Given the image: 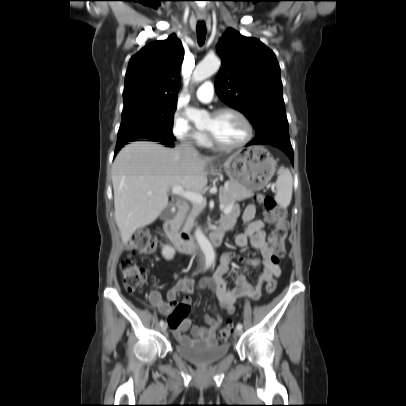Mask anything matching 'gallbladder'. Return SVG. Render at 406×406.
Here are the masks:
<instances>
[{"label":"gallbladder","mask_w":406,"mask_h":406,"mask_svg":"<svg viewBox=\"0 0 406 406\" xmlns=\"http://www.w3.org/2000/svg\"><path fill=\"white\" fill-rule=\"evenodd\" d=\"M174 212L172 211V203H170L160 214L161 220L171 219L174 217Z\"/></svg>","instance_id":"obj_1"}]
</instances>
